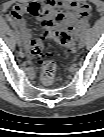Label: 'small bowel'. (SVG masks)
I'll use <instances>...</instances> for the list:
<instances>
[{
	"mask_svg": "<svg viewBox=\"0 0 104 137\" xmlns=\"http://www.w3.org/2000/svg\"><path fill=\"white\" fill-rule=\"evenodd\" d=\"M25 13L37 15L45 26L48 23L61 24L74 34H78L89 21L92 9L84 2L66 0H45L43 3L30 2L14 6L9 20L21 33L25 51L31 56L30 31L23 18Z\"/></svg>",
	"mask_w": 104,
	"mask_h": 137,
	"instance_id": "small-bowel-1",
	"label": "small bowel"
}]
</instances>
